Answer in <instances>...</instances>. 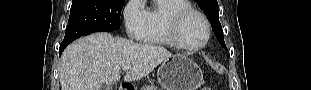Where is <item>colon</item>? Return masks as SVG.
<instances>
[{
	"label": "colon",
	"instance_id": "colon-1",
	"mask_svg": "<svg viewBox=\"0 0 311 90\" xmlns=\"http://www.w3.org/2000/svg\"><path fill=\"white\" fill-rule=\"evenodd\" d=\"M201 90H213V89L210 87H203V88H201Z\"/></svg>",
	"mask_w": 311,
	"mask_h": 90
}]
</instances>
